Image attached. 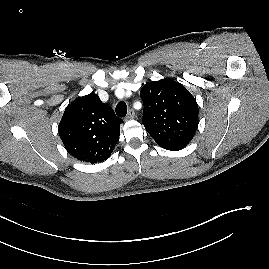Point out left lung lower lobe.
<instances>
[{"label": "left lung lower lobe", "instance_id": "0a47b994", "mask_svg": "<svg viewBox=\"0 0 269 269\" xmlns=\"http://www.w3.org/2000/svg\"><path fill=\"white\" fill-rule=\"evenodd\" d=\"M184 147H173V148H168L167 150H172V151H178L183 149Z\"/></svg>", "mask_w": 269, "mask_h": 269}]
</instances>
